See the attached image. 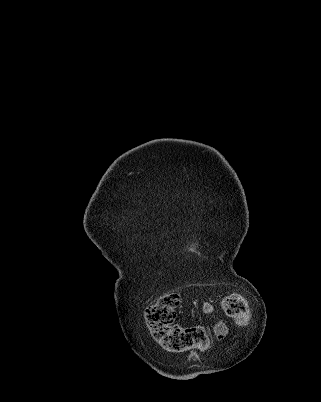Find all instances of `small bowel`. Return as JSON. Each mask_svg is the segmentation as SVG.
I'll return each instance as SVG.
<instances>
[{"mask_svg": "<svg viewBox=\"0 0 321 402\" xmlns=\"http://www.w3.org/2000/svg\"><path fill=\"white\" fill-rule=\"evenodd\" d=\"M201 311L204 314L211 315L215 312V307L211 302H203L201 304ZM213 331L214 334L220 339L226 337L229 334V328L227 324L222 320L217 321L213 325Z\"/></svg>", "mask_w": 321, "mask_h": 402, "instance_id": "small-bowel-1", "label": "small bowel"}]
</instances>
